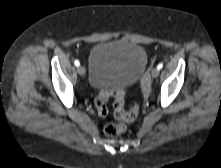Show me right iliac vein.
I'll use <instances>...</instances> for the list:
<instances>
[{"mask_svg": "<svg viewBox=\"0 0 221 168\" xmlns=\"http://www.w3.org/2000/svg\"><path fill=\"white\" fill-rule=\"evenodd\" d=\"M77 71L81 76L85 74V68L82 65L78 66Z\"/></svg>", "mask_w": 221, "mask_h": 168, "instance_id": "1", "label": "right iliac vein"}]
</instances>
